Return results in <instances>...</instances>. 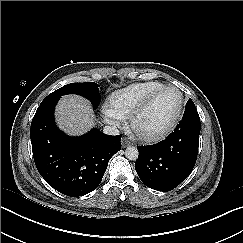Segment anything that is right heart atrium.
Instances as JSON below:
<instances>
[{"instance_id":"1","label":"right heart atrium","mask_w":243,"mask_h":243,"mask_svg":"<svg viewBox=\"0 0 243 243\" xmlns=\"http://www.w3.org/2000/svg\"><path fill=\"white\" fill-rule=\"evenodd\" d=\"M103 118L107 124L113 128L120 127L123 123V117L115 113L111 108L104 107L102 110Z\"/></svg>"}]
</instances>
